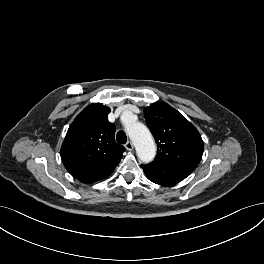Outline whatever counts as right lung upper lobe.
<instances>
[{
  "mask_svg": "<svg viewBox=\"0 0 264 264\" xmlns=\"http://www.w3.org/2000/svg\"><path fill=\"white\" fill-rule=\"evenodd\" d=\"M110 108L93 103L70 125L61 148L68 172L83 183H93L112 173L125 151L115 142V126L107 116Z\"/></svg>",
  "mask_w": 264,
  "mask_h": 264,
  "instance_id": "right-lung-upper-lobe-1",
  "label": "right lung upper lobe"
}]
</instances>
